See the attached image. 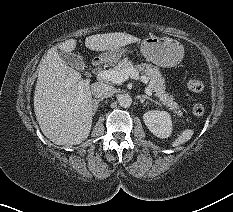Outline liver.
I'll use <instances>...</instances> for the list:
<instances>
[{
	"label": "liver",
	"instance_id": "liver-1",
	"mask_svg": "<svg viewBox=\"0 0 233 212\" xmlns=\"http://www.w3.org/2000/svg\"><path fill=\"white\" fill-rule=\"evenodd\" d=\"M140 39L122 32L96 34L85 39L92 51H115ZM76 40L69 39L47 51L38 69L34 111L42 133L57 145H77L89 136L93 105L89 81L69 67L57 48L69 53Z\"/></svg>",
	"mask_w": 233,
	"mask_h": 212
}]
</instances>
